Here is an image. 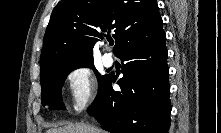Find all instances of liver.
Instances as JSON below:
<instances>
[{
  "mask_svg": "<svg viewBox=\"0 0 221 133\" xmlns=\"http://www.w3.org/2000/svg\"><path fill=\"white\" fill-rule=\"evenodd\" d=\"M46 133H103V131L86 123H70L64 127L48 129Z\"/></svg>",
  "mask_w": 221,
  "mask_h": 133,
  "instance_id": "obj_1",
  "label": "liver"
}]
</instances>
